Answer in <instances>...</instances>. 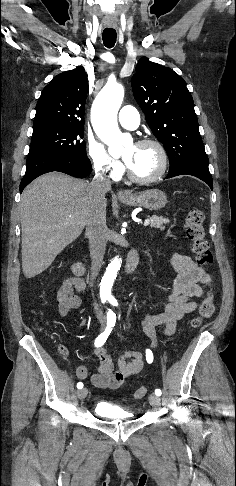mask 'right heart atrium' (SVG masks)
Instances as JSON below:
<instances>
[{
	"instance_id": "d8ad5b80",
	"label": "right heart atrium",
	"mask_w": 236,
	"mask_h": 486,
	"mask_svg": "<svg viewBox=\"0 0 236 486\" xmlns=\"http://www.w3.org/2000/svg\"><path fill=\"white\" fill-rule=\"evenodd\" d=\"M87 154L96 173L113 180L121 176L124 169L122 163L113 158L99 141H88Z\"/></svg>"
}]
</instances>
